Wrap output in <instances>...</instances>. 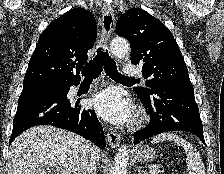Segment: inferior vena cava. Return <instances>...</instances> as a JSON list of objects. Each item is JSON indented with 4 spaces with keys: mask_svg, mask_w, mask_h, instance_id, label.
Returning a JSON list of instances; mask_svg holds the SVG:
<instances>
[{
    "mask_svg": "<svg viewBox=\"0 0 224 174\" xmlns=\"http://www.w3.org/2000/svg\"><path fill=\"white\" fill-rule=\"evenodd\" d=\"M97 148L88 143L82 152L76 174H96Z\"/></svg>",
    "mask_w": 224,
    "mask_h": 174,
    "instance_id": "inferior-vena-cava-1",
    "label": "inferior vena cava"
}]
</instances>
